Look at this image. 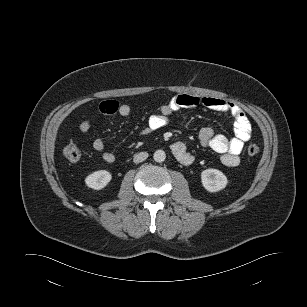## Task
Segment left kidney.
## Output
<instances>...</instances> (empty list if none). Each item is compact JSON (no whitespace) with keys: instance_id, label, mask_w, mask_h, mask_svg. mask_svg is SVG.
I'll list each match as a JSON object with an SVG mask.
<instances>
[{"instance_id":"5707ae66","label":"left kidney","mask_w":307,"mask_h":307,"mask_svg":"<svg viewBox=\"0 0 307 307\" xmlns=\"http://www.w3.org/2000/svg\"><path fill=\"white\" fill-rule=\"evenodd\" d=\"M201 181L209 192H218L224 189L228 183L227 177L217 169H206L201 173Z\"/></svg>"}]
</instances>
